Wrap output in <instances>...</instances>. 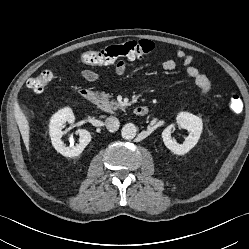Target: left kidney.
Segmentation results:
<instances>
[{
	"label": "left kidney",
	"instance_id": "obj_1",
	"mask_svg": "<svg viewBox=\"0 0 249 249\" xmlns=\"http://www.w3.org/2000/svg\"><path fill=\"white\" fill-rule=\"evenodd\" d=\"M176 123L189 133L183 144H179L172 139L171 130L174 126L173 124L163 130L162 138L165 146L171 152L177 155H184L197 144L203 128L202 119L188 112H180L176 117Z\"/></svg>",
	"mask_w": 249,
	"mask_h": 249
}]
</instances>
